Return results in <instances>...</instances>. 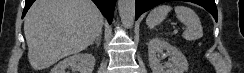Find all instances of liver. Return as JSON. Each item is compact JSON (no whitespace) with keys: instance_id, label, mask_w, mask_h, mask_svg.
Instances as JSON below:
<instances>
[{"instance_id":"1","label":"liver","mask_w":244,"mask_h":73,"mask_svg":"<svg viewBox=\"0 0 244 73\" xmlns=\"http://www.w3.org/2000/svg\"><path fill=\"white\" fill-rule=\"evenodd\" d=\"M103 24L91 0H36L24 21L31 66L45 69L86 49L102 33Z\"/></svg>"}]
</instances>
